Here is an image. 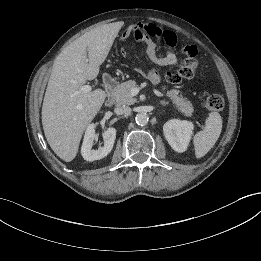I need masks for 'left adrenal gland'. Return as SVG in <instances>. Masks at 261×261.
Listing matches in <instances>:
<instances>
[{
  "label": "left adrenal gland",
  "instance_id": "left-adrenal-gland-1",
  "mask_svg": "<svg viewBox=\"0 0 261 261\" xmlns=\"http://www.w3.org/2000/svg\"><path fill=\"white\" fill-rule=\"evenodd\" d=\"M160 104H161L162 106H166V105H168V102L161 101Z\"/></svg>",
  "mask_w": 261,
  "mask_h": 261
}]
</instances>
